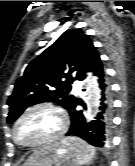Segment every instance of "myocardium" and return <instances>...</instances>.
<instances>
[{
  "mask_svg": "<svg viewBox=\"0 0 135 166\" xmlns=\"http://www.w3.org/2000/svg\"><path fill=\"white\" fill-rule=\"evenodd\" d=\"M42 109L50 110L57 115L59 125H58L56 132L53 135H51L43 140L34 142V143L20 142L16 136V130H17L18 125L28 114H30L33 111L42 110ZM66 124H67V121H66L65 112L60 106H58L54 103H51V102L37 103V104H34V105L26 108L15 120V122L13 124V128H12V138L17 145H19L21 147H25V148H35V147L48 145V144L54 143L55 141L59 140L62 137V135L64 134L65 129H66Z\"/></svg>",
  "mask_w": 135,
  "mask_h": 166,
  "instance_id": "f54148a6",
  "label": "myocardium"
}]
</instances>
